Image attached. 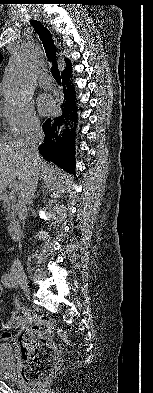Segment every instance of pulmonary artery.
<instances>
[{
	"label": "pulmonary artery",
	"mask_w": 153,
	"mask_h": 393,
	"mask_svg": "<svg viewBox=\"0 0 153 393\" xmlns=\"http://www.w3.org/2000/svg\"><path fill=\"white\" fill-rule=\"evenodd\" d=\"M39 84H40V86L43 87L44 89H49V88H51L52 85H53L52 77H51L49 74H47V73L42 74V75L40 76V78H39Z\"/></svg>",
	"instance_id": "pulmonary-artery-1"
}]
</instances>
